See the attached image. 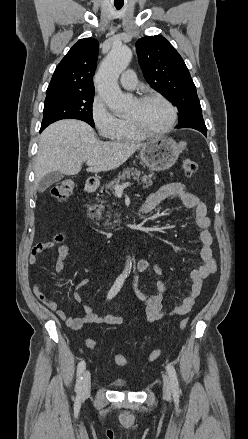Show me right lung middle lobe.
Returning <instances> with one entry per match:
<instances>
[{
	"label": "right lung middle lobe",
	"instance_id": "right-lung-middle-lobe-1",
	"mask_svg": "<svg viewBox=\"0 0 248 439\" xmlns=\"http://www.w3.org/2000/svg\"><path fill=\"white\" fill-rule=\"evenodd\" d=\"M94 92H65L46 96L41 126L61 119H79L94 127L92 103Z\"/></svg>",
	"mask_w": 248,
	"mask_h": 439
}]
</instances>
